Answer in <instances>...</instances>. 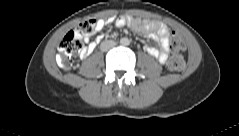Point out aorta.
Masks as SVG:
<instances>
[{"label":"aorta","instance_id":"1","mask_svg":"<svg viewBox=\"0 0 239 136\" xmlns=\"http://www.w3.org/2000/svg\"><path fill=\"white\" fill-rule=\"evenodd\" d=\"M127 42H128V41H127V40H125V39H122V40H121V43H122V44H124V45H126V44H127Z\"/></svg>","mask_w":239,"mask_h":136}]
</instances>
